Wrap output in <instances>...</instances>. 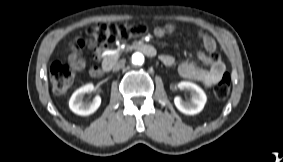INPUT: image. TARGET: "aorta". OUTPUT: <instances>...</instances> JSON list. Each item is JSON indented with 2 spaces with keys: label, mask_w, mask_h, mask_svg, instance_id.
<instances>
[{
  "label": "aorta",
  "mask_w": 283,
  "mask_h": 162,
  "mask_svg": "<svg viewBox=\"0 0 283 162\" xmlns=\"http://www.w3.org/2000/svg\"><path fill=\"white\" fill-rule=\"evenodd\" d=\"M132 63L134 65H142L144 63V56L140 52H136L132 55Z\"/></svg>",
  "instance_id": "1"
}]
</instances>
